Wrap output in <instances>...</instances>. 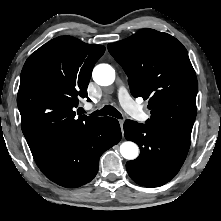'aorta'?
I'll use <instances>...</instances> for the list:
<instances>
[{"label": "aorta", "mask_w": 221, "mask_h": 221, "mask_svg": "<svg viewBox=\"0 0 221 221\" xmlns=\"http://www.w3.org/2000/svg\"><path fill=\"white\" fill-rule=\"evenodd\" d=\"M94 81L101 86H109L115 80V70L108 64H99L93 70ZM120 153L127 160H133L139 155L138 146L131 141L120 145Z\"/></svg>", "instance_id": "762f6f07"}]
</instances>
